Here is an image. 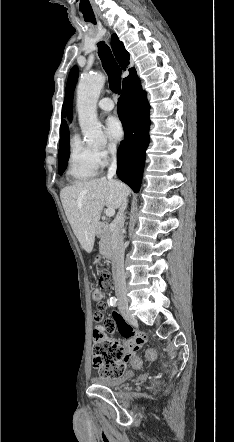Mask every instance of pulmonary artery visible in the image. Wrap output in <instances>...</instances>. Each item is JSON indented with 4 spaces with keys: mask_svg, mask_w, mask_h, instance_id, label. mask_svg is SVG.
<instances>
[{
    "mask_svg": "<svg viewBox=\"0 0 234 442\" xmlns=\"http://www.w3.org/2000/svg\"><path fill=\"white\" fill-rule=\"evenodd\" d=\"M98 107L102 111H111L114 108V102L110 98H102L98 102Z\"/></svg>",
    "mask_w": 234,
    "mask_h": 442,
    "instance_id": "obj_1",
    "label": "pulmonary artery"
}]
</instances>
